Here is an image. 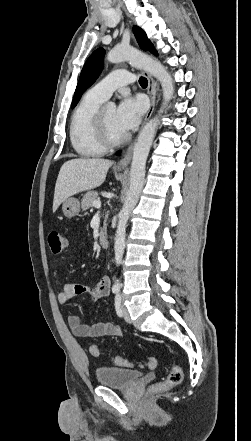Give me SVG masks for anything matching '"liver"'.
I'll return each mask as SVG.
<instances>
[{
    "mask_svg": "<svg viewBox=\"0 0 251 441\" xmlns=\"http://www.w3.org/2000/svg\"><path fill=\"white\" fill-rule=\"evenodd\" d=\"M112 161L100 158H78L66 161L55 184L53 212L68 197L100 186Z\"/></svg>",
    "mask_w": 251,
    "mask_h": 441,
    "instance_id": "obj_1",
    "label": "liver"
}]
</instances>
